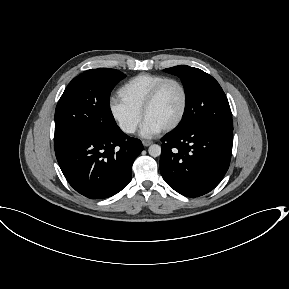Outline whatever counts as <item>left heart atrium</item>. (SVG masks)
Masks as SVG:
<instances>
[{
	"label": "left heart atrium",
	"instance_id": "obj_1",
	"mask_svg": "<svg viewBox=\"0 0 289 289\" xmlns=\"http://www.w3.org/2000/svg\"><path fill=\"white\" fill-rule=\"evenodd\" d=\"M161 130L162 128L159 125L145 119L141 126L140 135L142 137L150 138L158 134Z\"/></svg>",
	"mask_w": 289,
	"mask_h": 289
}]
</instances>
